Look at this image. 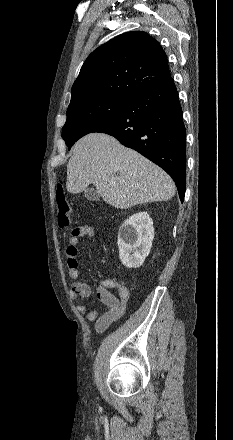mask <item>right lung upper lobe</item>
<instances>
[{
	"mask_svg": "<svg viewBox=\"0 0 233 440\" xmlns=\"http://www.w3.org/2000/svg\"><path fill=\"white\" fill-rule=\"evenodd\" d=\"M170 78L160 44L145 32H127L88 56L72 86L70 104L94 97L130 99Z\"/></svg>",
	"mask_w": 233,
	"mask_h": 440,
	"instance_id": "right-lung-upper-lobe-1",
	"label": "right lung upper lobe"
}]
</instances>
